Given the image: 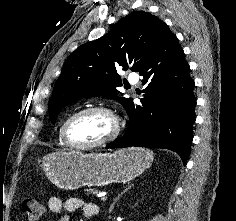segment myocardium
I'll use <instances>...</instances> for the list:
<instances>
[{"label":"myocardium","mask_w":236,"mask_h":221,"mask_svg":"<svg viewBox=\"0 0 236 221\" xmlns=\"http://www.w3.org/2000/svg\"><path fill=\"white\" fill-rule=\"evenodd\" d=\"M91 112L105 113L113 120L114 128H113L112 134L109 137H107L106 139H103L101 141L91 143V144L80 145V144L74 143L69 137V129H70L72 122L76 118H78L84 114L91 113ZM121 129H122L121 119L112 108H110L108 106H104V105H92V106L85 107V108L73 113L71 116H69L66 119V121L64 122L63 127H62V138H63V141L65 142V144L72 149L91 150V149H95V148L104 147V146H107V145L113 143L118 138V136L121 132Z\"/></svg>","instance_id":"myocardium-1"}]
</instances>
